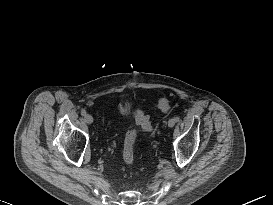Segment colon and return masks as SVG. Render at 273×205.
<instances>
[{"label": "colon", "instance_id": "1", "mask_svg": "<svg viewBox=\"0 0 273 205\" xmlns=\"http://www.w3.org/2000/svg\"><path fill=\"white\" fill-rule=\"evenodd\" d=\"M158 108L167 112L169 110V103L166 98H161L158 101ZM135 121L137 125H139L142 129L146 131H150L152 129V125L149 117L141 111L135 113ZM137 134L134 130H130L127 132L124 142L123 148V161L130 165L133 163L135 158V142H136Z\"/></svg>", "mask_w": 273, "mask_h": 205}]
</instances>
